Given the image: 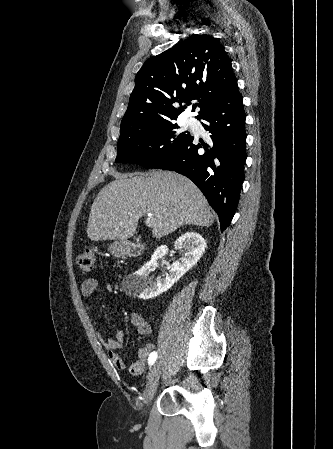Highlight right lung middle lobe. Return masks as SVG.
I'll return each mask as SVG.
<instances>
[{
	"label": "right lung middle lobe",
	"instance_id": "1",
	"mask_svg": "<svg viewBox=\"0 0 333 449\" xmlns=\"http://www.w3.org/2000/svg\"><path fill=\"white\" fill-rule=\"evenodd\" d=\"M172 121L160 124L140 135L118 141L116 162L155 168L168 159L191 138Z\"/></svg>",
	"mask_w": 333,
	"mask_h": 449
}]
</instances>
